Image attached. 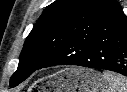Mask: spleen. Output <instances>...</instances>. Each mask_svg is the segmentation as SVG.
Here are the masks:
<instances>
[{"label": "spleen", "mask_w": 127, "mask_h": 92, "mask_svg": "<svg viewBox=\"0 0 127 92\" xmlns=\"http://www.w3.org/2000/svg\"><path fill=\"white\" fill-rule=\"evenodd\" d=\"M102 76L108 84L103 92H127L126 77L110 71H104Z\"/></svg>", "instance_id": "3e777b00"}]
</instances>
